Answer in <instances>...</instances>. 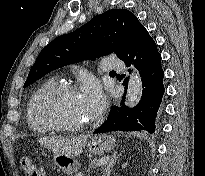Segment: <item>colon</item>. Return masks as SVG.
<instances>
[{"label":"colon","instance_id":"obj_1","mask_svg":"<svg viewBox=\"0 0 205 176\" xmlns=\"http://www.w3.org/2000/svg\"><path fill=\"white\" fill-rule=\"evenodd\" d=\"M22 172L24 176H43V165L37 159L26 158L22 163Z\"/></svg>","mask_w":205,"mask_h":176}]
</instances>
